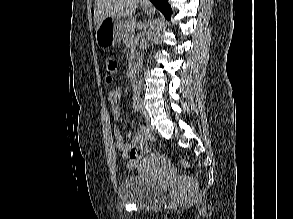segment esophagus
<instances>
[{
	"label": "esophagus",
	"mask_w": 293,
	"mask_h": 219,
	"mask_svg": "<svg viewBox=\"0 0 293 219\" xmlns=\"http://www.w3.org/2000/svg\"><path fill=\"white\" fill-rule=\"evenodd\" d=\"M144 3H148V0H143Z\"/></svg>",
	"instance_id": "34e87169"
}]
</instances>
